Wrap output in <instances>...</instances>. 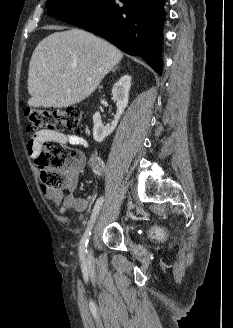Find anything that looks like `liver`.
<instances>
[{
	"mask_svg": "<svg viewBox=\"0 0 233 328\" xmlns=\"http://www.w3.org/2000/svg\"><path fill=\"white\" fill-rule=\"evenodd\" d=\"M122 57L115 46L84 30L49 35L30 59L28 105L66 108L79 103L95 91Z\"/></svg>",
	"mask_w": 233,
	"mask_h": 328,
	"instance_id": "1",
	"label": "liver"
}]
</instances>
